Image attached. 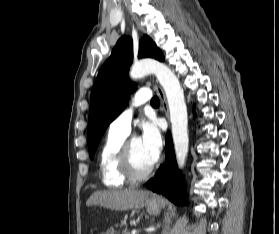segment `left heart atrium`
<instances>
[{
	"mask_svg": "<svg viewBox=\"0 0 279 234\" xmlns=\"http://www.w3.org/2000/svg\"><path fill=\"white\" fill-rule=\"evenodd\" d=\"M140 141L148 154L157 160L162 148V136L154 122H145L142 125Z\"/></svg>",
	"mask_w": 279,
	"mask_h": 234,
	"instance_id": "obj_1",
	"label": "left heart atrium"
}]
</instances>
